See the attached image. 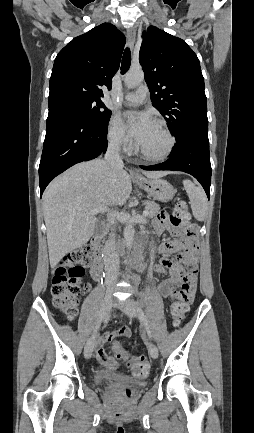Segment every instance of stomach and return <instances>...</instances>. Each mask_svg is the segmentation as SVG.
I'll use <instances>...</instances> for the list:
<instances>
[{
    "label": "stomach",
    "instance_id": "stomach-1",
    "mask_svg": "<svg viewBox=\"0 0 254 433\" xmlns=\"http://www.w3.org/2000/svg\"><path fill=\"white\" fill-rule=\"evenodd\" d=\"M136 183L145 190L153 199L160 202H168L175 194V189L166 180L160 178H139Z\"/></svg>",
    "mask_w": 254,
    "mask_h": 433
}]
</instances>
